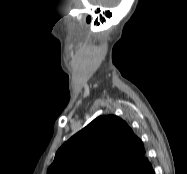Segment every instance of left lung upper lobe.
Returning a JSON list of instances; mask_svg holds the SVG:
<instances>
[{
	"instance_id": "1",
	"label": "left lung upper lobe",
	"mask_w": 187,
	"mask_h": 174,
	"mask_svg": "<svg viewBox=\"0 0 187 174\" xmlns=\"http://www.w3.org/2000/svg\"><path fill=\"white\" fill-rule=\"evenodd\" d=\"M149 166L142 141L125 121L107 115L65 142L47 174H132Z\"/></svg>"
}]
</instances>
